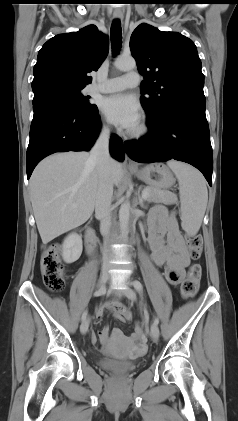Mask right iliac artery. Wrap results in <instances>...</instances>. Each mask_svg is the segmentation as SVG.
<instances>
[{"label": "right iliac artery", "mask_w": 238, "mask_h": 421, "mask_svg": "<svg viewBox=\"0 0 238 421\" xmlns=\"http://www.w3.org/2000/svg\"><path fill=\"white\" fill-rule=\"evenodd\" d=\"M105 291H106V288L105 287H102L99 290H97V291L94 292V296L95 297L101 296V295H103L105 293ZM86 317H87V310H85L83 312V314H82V320H85Z\"/></svg>", "instance_id": "82829eb1"}]
</instances>
